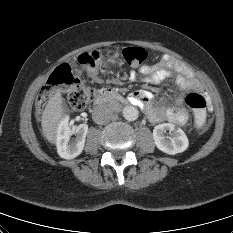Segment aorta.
Wrapping results in <instances>:
<instances>
[{
  "label": "aorta",
  "instance_id": "aorta-1",
  "mask_svg": "<svg viewBox=\"0 0 233 233\" xmlns=\"http://www.w3.org/2000/svg\"><path fill=\"white\" fill-rule=\"evenodd\" d=\"M123 117L128 121H135L139 116V111L133 106H126L122 111Z\"/></svg>",
  "mask_w": 233,
  "mask_h": 233
}]
</instances>
